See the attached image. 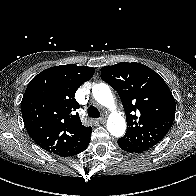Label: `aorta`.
Listing matches in <instances>:
<instances>
[{"instance_id":"762f6f07","label":"aorta","mask_w":196,"mask_h":196,"mask_svg":"<svg viewBox=\"0 0 196 196\" xmlns=\"http://www.w3.org/2000/svg\"><path fill=\"white\" fill-rule=\"evenodd\" d=\"M92 94L99 104L112 110V113L107 120V130L111 135L121 137L125 133L126 123L121 114L113 110L114 97L109 86L105 83L94 84L92 87Z\"/></svg>"}]
</instances>
